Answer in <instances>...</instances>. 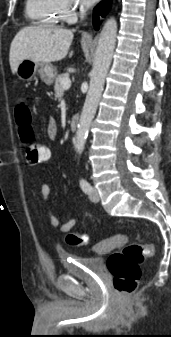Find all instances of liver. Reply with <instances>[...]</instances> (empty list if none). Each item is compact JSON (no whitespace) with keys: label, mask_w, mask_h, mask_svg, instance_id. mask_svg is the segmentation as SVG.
<instances>
[{"label":"liver","mask_w":171,"mask_h":337,"mask_svg":"<svg viewBox=\"0 0 171 337\" xmlns=\"http://www.w3.org/2000/svg\"><path fill=\"white\" fill-rule=\"evenodd\" d=\"M69 29L38 26L21 29L14 37L9 53V63L13 74L24 59L50 63L62 60L68 54L73 40ZM73 52L69 53V57Z\"/></svg>","instance_id":"liver-1"}]
</instances>
